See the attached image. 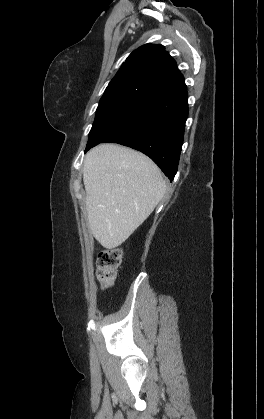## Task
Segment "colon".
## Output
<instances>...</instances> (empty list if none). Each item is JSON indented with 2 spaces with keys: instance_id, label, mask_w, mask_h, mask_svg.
Here are the masks:
<instances>
[{
  "instance_id": "obj_1",
  "label": "colon",
  "mask_w": 264,
  "mask_h": 419,
  "mask_svg": "<svg viewBox=\"0 0 264 419\" xmlns=\"http://www.w3.org/2000/svg\"><path fill=\"white\" fill-rule=\"evenodd\" d=\"M121 259L122 251L120 249H105L99 253L97 278L103 288H109L113 284Z\"/></svg>"
}]
</instances>
